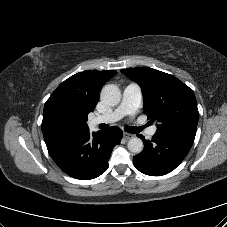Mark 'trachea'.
Wrapping results in <instances>:
<instances>
[{
	"instance_id": "trachea-1",
	"label": "trachea",
	"mask_w": 227,
	"mask_h": 227,
	"mask_svg": "<svg viewBox=\"0 0 227 227\" xmlns=\"http://www.w3.org/2000/svg\"><path fill=\"white\" fill-rule=\"evenodd\" d=\"M144 127H132V126H125V131L129 133H139L143 130Z\"/></svg>"
}]
</instances>
